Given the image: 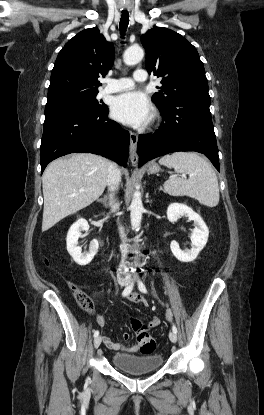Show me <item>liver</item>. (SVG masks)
<instances>
[{
	"label": "liver",
	"mask_w": 264,
	"mask_h": 415,
	"mask_svg": "<svg viewBox=\"0 0 264 415\" xmlns=\"http://www.w3.org/2000/svg\"><path fill=\"white\" fill-rule=\"evenodd\" d=\"M109 162L91 153H77L51 162L42 177V231L97 200L108 179Z\"/></svg>",
	"instance_id": "6515ba94"
}]
</instances>
